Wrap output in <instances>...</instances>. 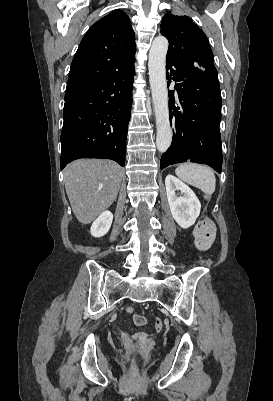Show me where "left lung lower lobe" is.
<instances>
[{"label":"left lung lower lobe","mask_w":273,"mask_h":401,"mask_svg":"<svg viewBox=\"0 0 273 401\" xmlns=\"http://www.w3.org/2000/svg\"><path fill=\"white\" fill-rule=\"evenodd\" d=\"M166 70L167 76L170 70L169 78L177 83L176 94L169 91L173 140L161 157L160 168L190 160L207 164L220 173L223 159L219 129L221 91L215 66L192 67L167 56Z\"/></svg>","instance_id":"obj_1"}]
</instances>
